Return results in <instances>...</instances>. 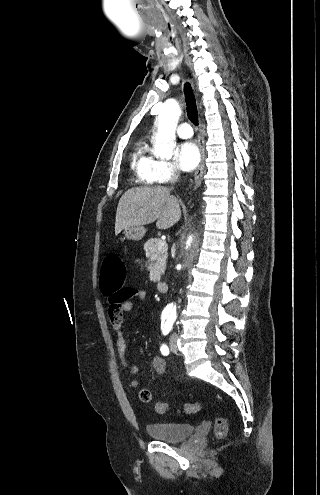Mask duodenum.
I'll list each match as a JSON object with an SVG mask.
<instances>
[{
    "label": "duodenum",
    "instance_id": "obj_1",
    "mask_svg": "<svg viewBox=\"0 0 320 495\" xmlns=\"http://www.w3.org/2000/svg\"><path fill=\"white\" fill-rule=\"evenodd\" d=\"M157 286H158V290L162 293L167 292L169 288V285L166 281H159Z\"/></svg>",
    "mask_w": 320,
    "mask_h": 495
}]
</instances>
